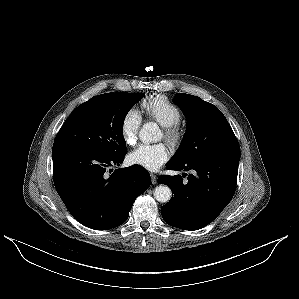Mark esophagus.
Instances as JSON below:
<instances>
[{
	"instance_id": "obj_1",
	"label": "esophagus",
	"mask_w": 299,
	"mask_h": 299,
	"mask_svg": "<svg viewBox=\"0 0 299 299\" xmlns=\"http://www.w3.org/2000/svg\"><path fill=\"white\" fill-rule=\"evenodd\" d=\"M150 176H151V181H152V184H156L157 183V177L154 173H150Z\"/></svg>"
}]
</instances>
